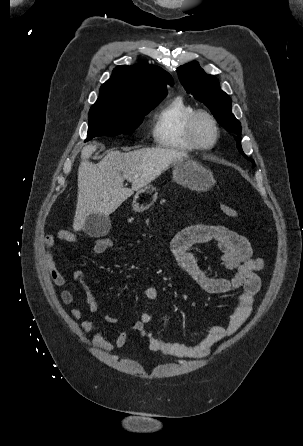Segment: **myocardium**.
Wrapping results in <instances>:
<instances>
[{
  "instance_id": "myocardium-1",
  "label": "myocardium",
  "mask_w": 303,
  "mask_h": 446,
  "mask_svg": "<svg viewBox=\"0 0 303 446\" xmlns=\"http://www.w3.org/2000/svg\"><path fill=\"white\" fill-rule=\"evenodd\" d=\"M200 117L207 118L211 122V124L214 128V132H215L214 139L209 145L202 144L196 136L195 126H196L197 120ZM185 132H186V136H187L189 142L198 150H210V149L214 148L220 138V127H219V124H218L216 118L214 117L213 114H211L210 112H208L204 109H197L188 117Z\"/></svg>"
}]
</instances>
